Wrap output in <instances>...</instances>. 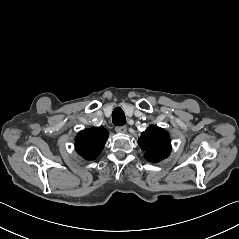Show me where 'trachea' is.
<instances>
[{"mask_svg": "<svg viewBox=\"0 0 239 239\" xmlns=\"http://www.w3.org/2000/svg\"><path fill=\"white\" fill-rule=\"evenodd\" d=\"M112 122L115 126H123L126 124L124 111L120 107H116L112 112Z\"/></svg>", "mask_w": 239, "mask_h": 239, "instance_id": "trachea-1", "label": "trachea"}]
</instances>
